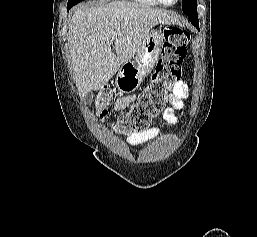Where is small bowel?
Returning a JSON list of instances; mask_svg holds the SVG:
<instances>
[{
    "label": "small bowel",
    "mask_w": 257,
    "mask_h": 237,
    "mask_svg": "<svg viewBox=\"0 0 257 237\" xmlns=\"http://www.w3.org/2000/svg\"><path fill=\"white\" fill-rule=\"evenodd\" d=\"M188 98V87L183 81H178L173 86L169 96L168 102L170 107L166 108L163 112V119L169 124L175 125L178 123V117L176 111L181 110L184 107V100ZM136 100V95H130L126 97L118 98L114 105V111L119 112L120 110L127 107L129 104ZM160 133L158 127H151L145 131L135 133L128 138L130 145H139L146 141L156 138Z\"/></svg>",
    "instance_id": "obj_1"
}]
</instances>
